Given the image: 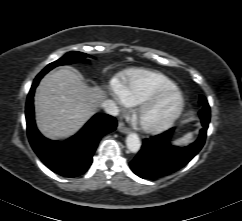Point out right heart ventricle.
Segmentation results:
<instances>
[{
	"label": "right heart ventricle",
	"mask_w": 242,
	"mask_h": 221,
	"mask_svg": "<svg viewBox=\"0 0 242 221\" xmlns=\"http://www.w3.org/2000/svg\"><path fill=\"white\" fill-rule=\"evenodd\" d=\"M176 86L167 76L145 70H134L117 81L116 89L123 100L138 105L161 90Z\"/></svg>",
	"instance_id": "right-heart-ventricle-1"
}]
</instances>
